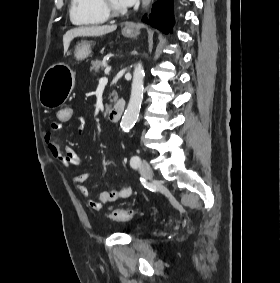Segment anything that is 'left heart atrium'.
<instances>
[{
	"instance_id": "1",
	"label": "left heart atrium",
	"mask_w": 280,
	"mask_h": 283,
	"mask_svg": "<svg viewBox=\"0 0 280 283\" xmlns=\"http://www.w3.org/2000/svg\"><path fill=\"white\" fill-rule=\"evenodd\" d=\"M137 0H121L122 4L125 6V7H130L132 6L133 4H135Z\"/></svg>"
}]
</instances>
